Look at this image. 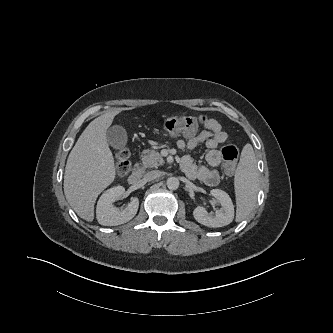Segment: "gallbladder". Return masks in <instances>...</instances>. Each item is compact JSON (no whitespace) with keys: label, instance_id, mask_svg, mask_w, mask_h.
Returning <instances> with one entry per match:
<instances>
[{"label":"gallbladder","instance_id":"obj_1","mask_svg":"<svg viewBox=\"0 0 333 333\" xmlns=\"http://www.w3.org/2000/svg\"><path fill=\"white\" fill-rule=\"evenodd\" d=\"M107 141L114 149H121L127 143V132L120 125H113L107 130Z\"/></svg>","mask_w":333,"mask_h":333}]
</instances>
